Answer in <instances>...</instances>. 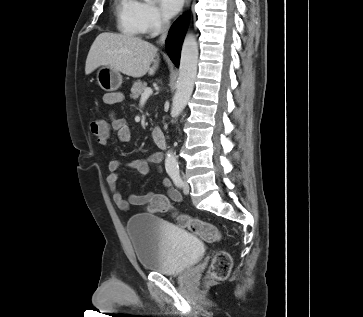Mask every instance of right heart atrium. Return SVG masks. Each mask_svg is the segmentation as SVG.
Returning a JSON list of instances; mask_svg holds the SVG:
<instances>
[{
	"mask_svg": "<svg viewBox=\"0 0 363 317\" xmlns=\"http://www.w3.org/2000/svg\"><path fill=\"white\" fill-rule=\"evenodd\" d=\"M139 16L141 31L146 35H155L159 33L168 23V20L159 8L149 3L139 4Z\"/></svg>",
	"mask_w": 363,
	"mask_h": 317,
	"instance_id": "right-heart-atrium-1",
	"label": "right heart atrium"
}]
</instances>
